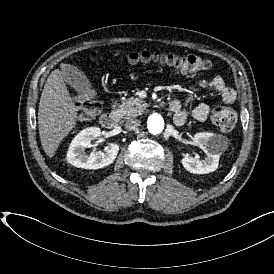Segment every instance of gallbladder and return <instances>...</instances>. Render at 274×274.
Here are the masks:
<instances>
[{
  "label": "gallbladder",
  "instance_id": "obj_1",
  "mask_svg": "<svg viewBox=\"0 0 274 274\" xmlns=\"http://www.w3.org/2000/svg\"><path fill=\"white\" fill-rule=\"evenodd\" d=\"M64 78L70 89L74 90L85 101H92L96 97V90L88 76L75 66H68L64 70Z\"/></svg>",
  "mask_w": 274,
  "mask_h": 274
}]
</instances>
